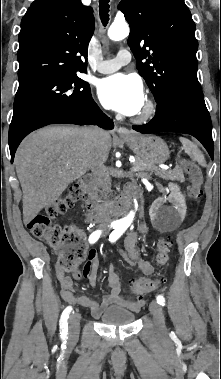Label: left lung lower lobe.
<instances>
[{
	"instance_id": "left-lung-lower-lobe-1",
	"label": "left lung lower lobe",
	"mask_w": 221,
	"mask_h": 379,
	"mask_svg": "<svg viewBox=\"0 0 221 379\" xmlns=\"http://www.w3.org/2000/svg\"><path fill=\"white\" fill-rule=\"evenodd\" d=\"M137 132H178L196 137L213 158L212 123L205 103L166 97L156 107L155 117L147 124L132 126Z\"/></svg>"
}]
</instances>
